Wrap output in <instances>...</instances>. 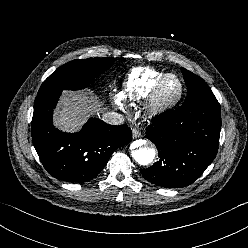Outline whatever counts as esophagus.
Here are the masks:
<instances>
[{
	"mask_svg": "<svg viewBox=\"0 0 248 248\" xmlns=\"http://www.w3.org/2000/svg\"><path fill=\"white\" fill-rule=\"evenodd\" d=\"M140 136H141V132L138 129H132L133 139L139 138Z\"/></svg>",
	"mask_w": 248,
	"mask_h": 248,
	"instance_id": "esophagus-1",
	"label": "esophagus"
}]
</instances>
